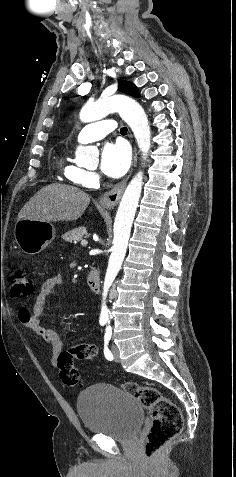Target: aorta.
I'll return each mask as SVG.
<instances>
[{
	"label": "aorta",
	"mask_w": 236,
	"mask_h": 477,
	"mask_svg": "<svg viewBox=\"0 0 236 477\" xmlns=\"http://www.w3.org/2000/svg\"><path fill=\"white\" fill-rule=\"evenodd\" d=\"M113 112H118L121 118L130 126L138 147L142 152L143 159L145 160L151 146V132L143 108L134 99L125 95H113L87 103L80 111V120L84 123L93 122ZM98 154V149L95 147L78 146L76 149V157L83 161H87L90 158H97ZM142 184L143 173L138 172L126 187L116 214L113 228L114 239L112 253L109 258L102 293L103 300L100 317L104 319H108L109 317L106 298L126 254L132 223L141 195Z\"/></svg>",
	"instance_id": "aorta-1"
}]
</instances>
